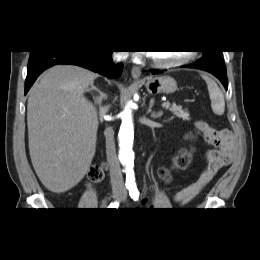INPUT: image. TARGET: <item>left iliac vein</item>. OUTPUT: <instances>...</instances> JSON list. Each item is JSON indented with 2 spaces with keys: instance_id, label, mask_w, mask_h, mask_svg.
Wrapping results in <instances>:
<instances>
[{
  "instance_id": "left-iliac-vein-1",
  "label": "left iliac vein",
  "mask_w": 260,
  "mask_h": 260,
  "mask_svg": "<svg viewBox=\"0 0 260 260\" xmlns=\"http://www.w3.org/2000/svg\"><path fill=\"white\" fill-rule=\"evenodd\" d=\"M125 198H126V195H123V196H122V200H125Z\"/></svg>"
}]
</instances>
